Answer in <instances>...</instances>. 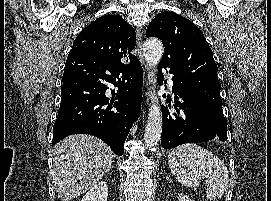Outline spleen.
<instances>
[{"label": "spleen", "mask_w": 271, "mask_h": 201, "mask_svg": "<svg viewBox=\"0 0 271 201\" xmlns=\"http://www.w3.org/2000/svg\"><path fill=\"white\" fill-rule=\"evenodd\" d=\"M168 164L178 182L196 188L206 178V198L215 201L228 189L229 173L224 162L212 152L193 143L182 144L168 155ZM189 168L190 171H187Z\"/></svg>", "instance_id": "spleen-1"}]
</instances>
